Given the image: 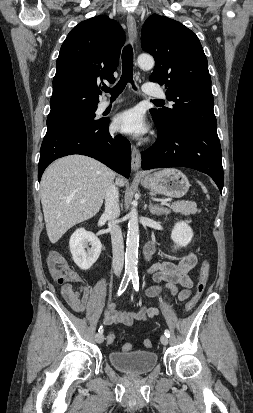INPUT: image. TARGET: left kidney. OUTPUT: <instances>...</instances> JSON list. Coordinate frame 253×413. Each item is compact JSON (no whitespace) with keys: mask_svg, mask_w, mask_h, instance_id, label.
Instances as JSON below:
<instances>
[{"mask_svg":"<svg viewBox=\"0 0 253 413\" xmlns=\"http://www.w3.org/2000/svg\"><path fill=\"white\" fill-rule=\"evenodd\" d=\"M193 237V231L187 222H178L171 232V239L175 243V249L187 246Z\"/></svg>","mask_w":253,"mask_h":413,"instance_id":"1","label":"left kidney"}]
</instances>
